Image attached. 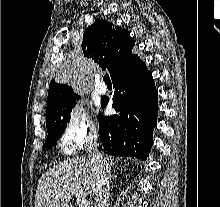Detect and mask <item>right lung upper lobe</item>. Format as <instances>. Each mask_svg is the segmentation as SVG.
<instances>
[{
	"label": "right lung upper lobe",
	"mask_w": 220,
	"mask_h": 207,
	"mask_svg": "<svg viewBox=\"0 0 220 207\" xmlns=\"http://www.w3.org/2000/svg\"><path fill=\"white\" fill-rule=\"evenodd\" d=\"M135 41L126 29L103 19H96L83 35L82 49L86 58H91L100 67L113 75L115 68L133 54ZM74 94L65 84L50 82L46 118L55 113Z\"/></svg>",
	"instance_id": "1"
}]
</instances>
